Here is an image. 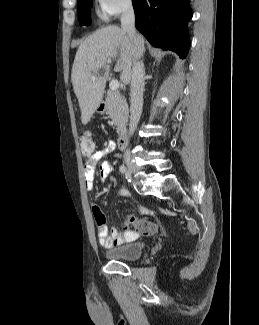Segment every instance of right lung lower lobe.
<instances>
[{
	"label": "right lung lower lobe",
	"mask_w": 259,
	"mask_h": 325,
	"mask_svg": "<svg viewBox=\"0 0 259 325\" xmlns=\"http://www.w3.org/2000/svg\"><path fill=\"white\" fill-rule=\"evenodd\" d=\"M190 0H132L135 26L154 46L186 57L190 45L187 22Z\"/></svg>",
	"instance_id": "obj_1"
}]
</instances>
